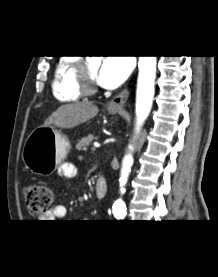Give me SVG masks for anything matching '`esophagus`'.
I'll use <instances>...</instances> for the list:
<instances>
[{"label":"esophagus","instance_id":"1","mask_svg":"<svg viewBox=\"0 0 218 277\" xmlns=\"http://www.w3.org/2000/svg\"><path fill=\"white\" fill-rule=\"evenodd\" d=\"M128 96H129L128 89H124L108 102L107 104L108 109L114 110V111L120 110L125 104V102L127 101Z\"/></svg>","mask_w":218,"mask_h":277}]
</instances>
